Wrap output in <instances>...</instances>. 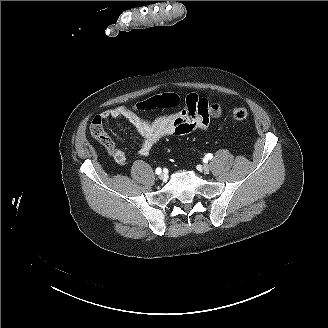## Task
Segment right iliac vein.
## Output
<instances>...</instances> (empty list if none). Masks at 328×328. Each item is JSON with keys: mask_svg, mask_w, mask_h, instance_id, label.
I'll use <instances>...</instances> for the list:
<instances>
[{"mask_svg": "<svg viewBox=\"0 0 328 328\" xmlns=\"http://www.w3.org/2000/svg\"><path fill=\"white\" fill-rule=\"evenodd\" d=\"M159 179L162 180V181L167 180V174H165V173H160V174H159Z\"/></svg>", "mask_w": 328, "mask_h": 328, "instance_id": "right-iliac-vein-1", "label": "right iliac vein"}]
</instances>
